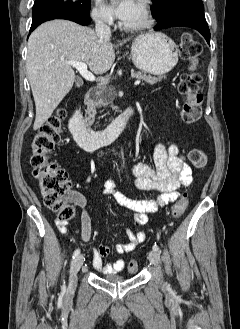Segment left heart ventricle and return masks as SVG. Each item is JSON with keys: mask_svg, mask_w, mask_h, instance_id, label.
<instances>
[{"mask_svg": "<svg viewBox=\"0 0 240 329\" xmlns=\"http://www.w3.org/2000/svg\"><path fill=\"white\" fill-rule=\"evenodd\" d=\"M143 20V11L138 2H136V7L132 15L124 21L127 25H135L140 23Z\"/></svg>", "mask_w": 240, "mask_h": 329, "instance_id": "left-heart-ventricle-1", "label": "left heart ventricle"}]
</instances>
